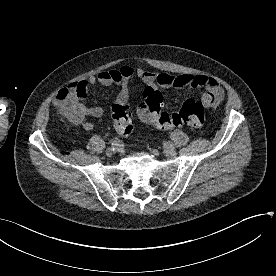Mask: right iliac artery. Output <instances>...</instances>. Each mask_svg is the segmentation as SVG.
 Here are the masks:
<instances>
[{
  "label": "right iliac artery",
  "instance_id": "obj_1",
  "mask_svg": "<svg viewBox=\"0 0 276 276\" xmlns=\"http://www.w3.org/2000/svg\"><path fill=\"white\" fill-rule=\"evenodd\" d=\"M112 145L115 146V147H119V148L123 147V144L119 140H114L112 142Z\"/></svg>",
  "mask_w": 276,
  "mask_h": 276
}]
</instances>
